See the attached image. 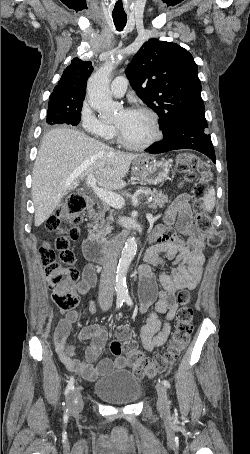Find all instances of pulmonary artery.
Instances as JSON below:
<instances>
[{"label": "pulmonary artery", "instance_id": "obj_1", "mask_svg": "<svg viewBox=\"0 0 250 454\" xmlns=\"http://www.w3.org/2000/svg\"><path fill=\"white\" fill-rule=\"evenodd\" d=\"M127 84V79L124 76L116 77L110 85L111 93L116 97L123 96L127 90Z\"/></svg>", "mask_w": 250, "mask_h": 454}]
</instances>
